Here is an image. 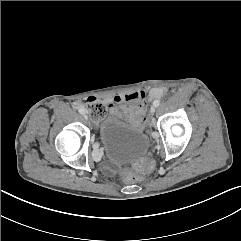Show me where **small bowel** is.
I'll return each instance as SVG.
<instances>
[{
  "label": "small bowel",
  "instance_id": "c3829d8e",
  "mask_svg": "<svg viewBox=\"0 0 241 241\" xmlns=\"http://www.w3.org/2000/svg\"><path fill=\"white\" fill-rule=\"evenodd\" d=\"M153 95L156 96L158 93L155 92ZM146 97V92L139 89L129 94L114 96L108 100V104L112 109L119 110L126 120L145 123L150 118L149 113L142 110L148 103Z\"/></svg>",
  "mask_w": 241,
  "mask_h": 241
}]
</instances>
